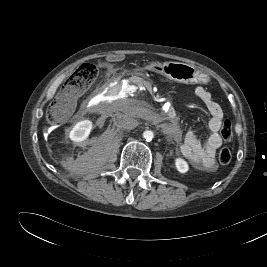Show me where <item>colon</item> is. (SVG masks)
I'll return each instance as SVG.
<instances>
[{
	"mask_svg": "<svg viewBox=\"0 0 267 267\" xmlns=\"http://www.w3.org/2000/svg\"><path fill=\"white\" fill-rule=\"evenodd\" d=\"M98 71V67L94 64H83L75 70L66 81L47 113V120L50 124L61 123L74 111L77 99L94 83L98 76ZM221 136L225 142L233 140L230 121L223 123ZM218 159L222 165H228L232 159L230 149L222 148L219 151Z\"/></svg>",
	"mask_w": 267,
	"mask_h": 267,
	"instance_id": "1",
	"label": "colon"
}]
</instances>
